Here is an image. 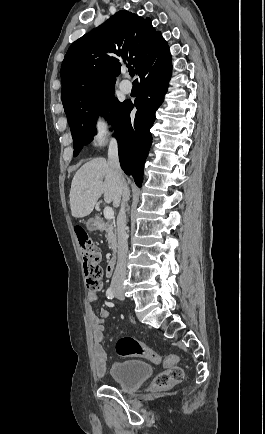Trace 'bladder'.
I'll return each mask as SVG.
<instances>
[{"label": "bladder", "instance_id": "31cf9c89", "mask_svg": "<svg viewBox=\"0 0 265 434\" xmlns=\"http://www.w3.org/2000/svg\"><path fill=\"white\" fill-rule=\"evenodd\" d=\"M151 374L152 367L148 363L139 360L116 362L109 369L110 377L126 393L138 390Z\"/></svg>", "mask_w": 265, "mask_h": 434}]
</instances>
